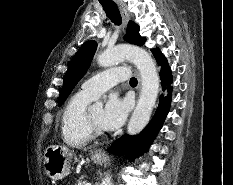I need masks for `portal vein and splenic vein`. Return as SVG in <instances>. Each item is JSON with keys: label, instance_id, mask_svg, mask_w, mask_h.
<instances>
[{"label": "portal vein and splenic vein", "instance_id": "1", "mask_svg": "<svg viewBox=\"0 0 233 185\" xmlns=\"http://www.w3.org/2000/svg\"><path fill=\"white\" fill-rule=\"evenodd\" d=\"M85 185H91V183H85Z\"/></svg>", "mask_w": 233, "mask_h": 185}]
</instances>
